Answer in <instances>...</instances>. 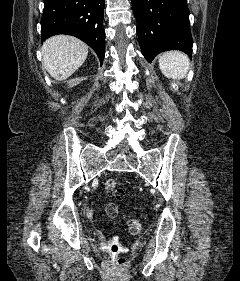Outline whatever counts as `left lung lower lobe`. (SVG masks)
<instances>
[{
    "label": "left lung lower lobe",
    "mask_w": 240,
    "mask_h": 281,
    "mask_svg": "<svg viewBox=\"0 0 240 281\" xmlns=\"http://www.w3.org/2000/svg\"><path fill=\"white\" fill-rule=\"evenodd\" d=\"M142 54L151 62L162 51L192 55L189 9L186 0H131Z\"/></svg>",
    "instance_id": "obj_1"
}]
</instances>
